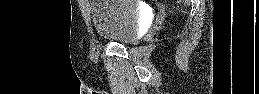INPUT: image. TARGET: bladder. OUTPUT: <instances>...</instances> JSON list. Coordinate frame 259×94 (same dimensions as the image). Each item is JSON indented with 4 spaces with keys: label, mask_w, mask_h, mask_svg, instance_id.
I'll use <instances>...</instances> for the list:
<instances>
[{
    "label": "bladder",
    "mask_w": 259,
    "mask_h": 94,
    "mask_svg": "<svg viewBox=\"0 0 259 94\" xmlns=\"http://www.w3.org/2000/svg\"><path fill=\"white\" fill-rule=\"evenodd\" d=\"M92 21L96 33L108 41L129 44L142 35V11L131 1H93Z\"/></svg>",
    "instance_id": "obj_1"
}]
</instances>
